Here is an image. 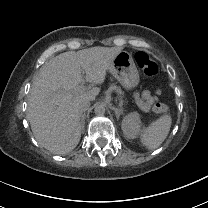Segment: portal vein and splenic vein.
Masks as SVG:
<instances>
[{"instance_id": "portal-vein-and-splenic-vein-1", "label": "portal vein and splenic vein", "mask_w": 208, "mask_h": 208, "mask_svg": "<svg viewBox=\"0 0 208 208\" xmlns=\"http://www.w3.org/2000/svg\"><path fill=\"white\" fill-rule=\"evenodd\" d=\"M85 78H86V84H87V87L88 88H91L92 87V84L89 83L91 82V78L88 76V75H85ZM84 90H86V86L85 85H80L79 86V91L80 92H83ZM113 93H116L117 95V103H120V100L122 99V96H123V93L121 92V90L119 89L118 86H115L114 89H113Z\"/></svg>"}]
</instances>
